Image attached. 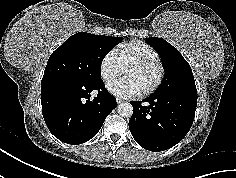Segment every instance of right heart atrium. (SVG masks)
I'll list each match as a JSON object with an SVG mask.
<instances>
[{
  "label": "right heart atrium",
  "instance_id": "obj_1",
  "mask_svg": "<svg viewBox=\"0 0 236 178\" xmlns=\"http://www.w3.org/2000/svg\"><path fill=\"white\" fill-rule=\"evenodd\" d=\"M123 72V68L119 64L113 51H109L103 55L99 62V73L106 85L111 84Z\"/></svg>",
  "mask_w": 236,
  "mask_h": 178
}]
</instances>
